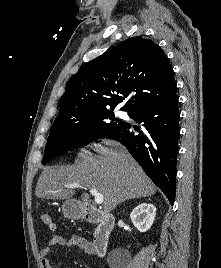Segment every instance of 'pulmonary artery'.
Segmentation results:
<instances>
[{
    "instance_id": "e3ab8cb5",
    "label": "pulmonary artery",
    "mask_w": 221,
    "mask_h": 268,
    "mask_svg": "<svg viewBox=\"0 0 221 268\" xmlns=\"http://www.w3.org/2000/svg\"><path fill=\"white\" fill-rule=\"evenodd\" d=\"M119 116H121V117H125L126 114H125L124 112H120V113H119Z\"/></svg>"
}]
</instances>
